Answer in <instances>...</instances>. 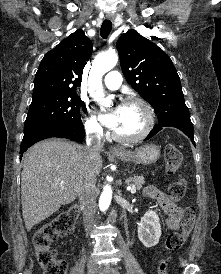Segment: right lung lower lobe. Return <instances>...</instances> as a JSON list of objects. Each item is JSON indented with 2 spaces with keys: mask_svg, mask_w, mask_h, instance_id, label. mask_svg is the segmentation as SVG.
I'll use <instances>...</instances> for the list:
<instances>
[{
  "mask_svg": "<svg viewBox=\"0 0 221 274\" xmlns=\"http://www.w3.org/2000/svg\"><path fill=\"white\" fill-rule=\"evenodd\" d=\"M67 138L70 140L80 141L85 137L83 128L72 127L64 124H46L37 126L24 131V137L21 143L20 154H22L36 142L51 138Z\"/></svg>",
  "mask_w": 221,
  "mask_h": 274,
  "instance_id": "98d812e1",
  "label": "right lung lower lobe"
}]
</instances>
